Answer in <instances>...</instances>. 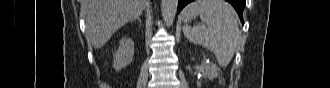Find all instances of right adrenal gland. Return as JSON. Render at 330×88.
<instances>
[{"mask_svg":"<svg viewBox=\"0 0 330 88\" xmlns=\"http://www.w3.org/2000/svg\"><path fill=\"white\" fill-rule=\"evenodd\" d=\"M135 19H137V20L139 21V23L141 24L140 16L136 17ZM135 19H133V21H134Z\"/></svg>","mask_w":330,"mask_h":88,"instance_id":"right-adrenal-gland-1","label":"right adrenal gland"}]
</instances>
